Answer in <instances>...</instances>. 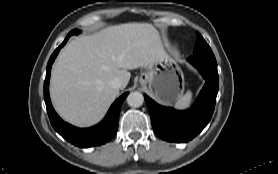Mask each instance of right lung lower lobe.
Wrapping results in <instances>:
<instances>
[{"mask_svg":"<svg viewBox=\"0 0 278 174\" xmlns=\"http://www.w3.org/2000/svg\"><path fill=\"white\" fill-rule=\"evenodd\" d=\"M69 37L67 36L64 42L54 51L47 64L46 79L44 82V99L46 103L48 116L55 131L58 132L63 138H65L70 143L78 147H91L101 145L108 142L116 134L120 109L123 101L129 93L126 92L122 96H120L112 104L103 121L92 128L80 129L64 122L54 111L53 106L51 104L49 97V79L51 65L54 62L60 48H62L66 44Z\"/></svg>","mask_w":278,"mask_h":174,"instance_id":"obj_1","label":"right lung lower lobe"}]
</instances>
